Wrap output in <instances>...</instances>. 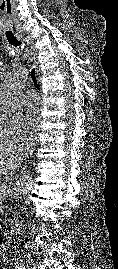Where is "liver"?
<instances>
[{
	"instance_id": "1",
	"label": "liver",
	"mask_w": 118,
	"mask_h": 269,
	"mask_svg": "<svg viewBox=\"0 0 118 269\" xmlns=\"http://www.w3.org/2000/svg\"><path fill=\"white\" fill-rule=\"evenodd\" d=\"M23 162L22 154L12 149H2L0 152V177L5 170H16Z\"/></svg>"
}]
</instances>
